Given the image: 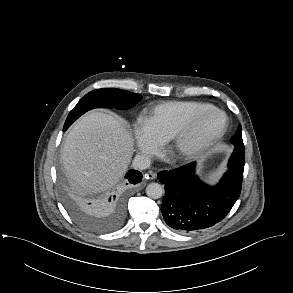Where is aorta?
Instances as JSON below:
<instances>
[{"label":"aorta","instance_id":"762f6f07","mask_svg":"<svg viewBox=\"0 0 293 293\" xmlns=\"http://www.w3.org/2000/svg\"><path fill=\"white\" fill-rule=\"evenodd\" d=\"M164 193V188L159 183H150L146 187V194L151 199H158Z\"/></svg>","mask_w":293,"mask_h":293}]
</instances>
